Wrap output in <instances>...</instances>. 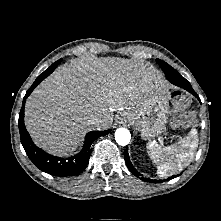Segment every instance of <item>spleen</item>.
I'll return each mask as SVG.
<instances>
[{
  "mask_svg": "<svg viewBox=\"0 0 221 221\" xmlns=\"http://www.w3.org/2000/svg\"><path fill=\"white\" fill-rule=\"evenodd\" d=\"M197 147L196 129H192L189 135L178 143L167 147L159 145L156 141L148 142L146 145L150 158L157 165V174L160 177L182 171L193 160Z\"/></svg>",
  "mask_w": 221,
  "mask_h": 221,
  "instance_id": "3e777b00",
  "label": "spleen"
}]
</instances>
